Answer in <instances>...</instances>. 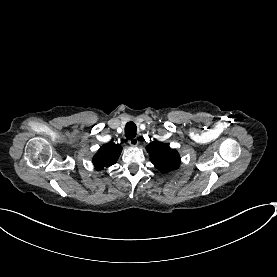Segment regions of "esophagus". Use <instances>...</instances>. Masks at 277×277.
<instances>
[{"instance_id":"1","label":"esophagus","mask_w":277,"mask_h":277,"mask_svg":"<svg viewBox=\"0 0 277 277\" xmlns=\"http://www.w3.org/2000/svg\"><path fill=\"white\" fill-rule=\"evenodd\" d=\"M129 145H131L132 147H136L139 143L138 139L137 138H133V139H130L128 141Z\"/></svg>"}]
</instances>
